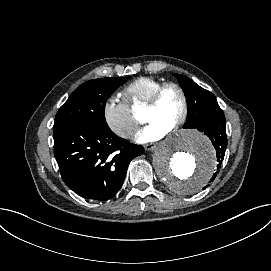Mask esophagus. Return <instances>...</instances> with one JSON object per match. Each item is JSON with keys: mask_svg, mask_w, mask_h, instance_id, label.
<instances>
[{"mask_svg": "<svg viewBox=\"0 0 271 271\" xmlns=\"http://www.w3.org/2000/svg\"><path fill=\"white\" fill-rule=\"evenodd\" d=\"M155 147H156V144H155V143H148V144H145V145H144V148H145V150H147V151H152V150L155 149Z\"/></svg>", "mask_w": 271, "mask_h": 271, "instance_id": "34e87169", "label": "esophagus"}]
</instances>
